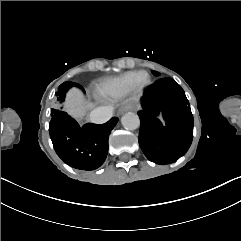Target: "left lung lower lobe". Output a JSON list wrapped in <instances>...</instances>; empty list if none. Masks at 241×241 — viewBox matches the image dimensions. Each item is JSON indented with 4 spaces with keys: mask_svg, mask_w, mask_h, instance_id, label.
I'll return each instance as SVG.
<instances>
[{
    "mask_svg": "<svg viewBox=\"0 0 241 241\" xmlns=\"http://www.w3.org/2000/svg\"><path fill=\"white\" fill-rule=\"evenodd\" d=\"M141 103L139 145L143 153L161 165L176 161L193 137V115L184 90L171 78L159 79L145 89ZM160 112L164 125L157 118Z\"/></svg>",
    "mask_w": 241,
    "mask_h": 241,
    "instance_id": "1",
    "label": "left lung lower lobe"
}]
</instances>
